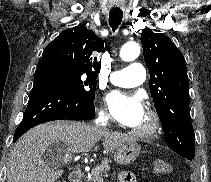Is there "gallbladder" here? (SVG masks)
<instances>
[{
  "instance_id": "gallbladder-1",
  "label": "gallbladder",
  "mask_w": 211,
  "mask_h": 182,
  "mask_svg": "<svg viewBox=\"0 0 211 182\" xmlns=\"http://www.w3.org/2000/svg\"><path fill=\"white\" fill-rule=\"evenodd\" d=\"M58 144L50 146L43 155L44 160H51V155L56 153V147Z\"/></svg>"
}]
</instances>
